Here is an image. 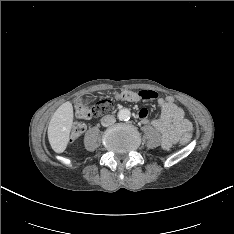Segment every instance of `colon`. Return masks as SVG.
Returning a JSON list of instances; mask_svg holds the SVG:
<instances>
[{"mask_svg":"<svg viewBox=\"0 0 234 234\" xmlns=\"http://www.w3.org/2000/svg\"><path fill=\"white\" fill-rule=\"evenodd\" d=\"M136 96L141 99L153 98L151 94L145 93L143 91L136 92L125 90L115 95L116 99H124L125 97ZM113 109V103L110 99H101L95 103H90L87 99H79L76 103V116L80 119H89L91 117H99L109 113ZM86 130V124L83 122L76 123L73 126L71 138L73 140L77 139ZM191 140V135L185 133L181 138L182 144H188Z\"/></svg>","mask_w":234,"mask_h":234,"instance_id":"5ec220e1","label":"colon"}]
</instances>
